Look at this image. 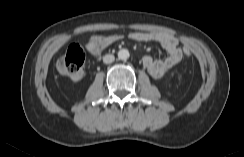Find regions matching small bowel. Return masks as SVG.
Listing matches in <instances>:
<instances>
[{"label":"small bowel","mask_w":244,"mask_h":157,"mask_svg":"<svg viewBox=\"0 0 244 157\" xmlns=\"http://www.w3.org/2000/svg\"><path fill=\"white\" fill-rule=\"evenodd\" d=\"M131 40L137 42H157L168 53L165 59L156 60L152 56L146 55L143 57V64L147 68L150 75L155 79L164 77L168 71L178 64L182 57L183 52L178 40L165 32H132L128 35ZM100 50H89L92 54H98Z\"/></svg>","instance_id":"obj_1"}]
</instances>
